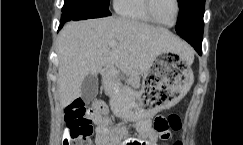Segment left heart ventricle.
<instances>
[{
	"instance_id": "obj_1",
	"label": "left heart ventricle",
	"mask_w": 243,
	"mask_h": 145,
	"mask_svg": "<svg viewBox=\"0 0 243 145\" xmlns=\"http://www.w3.org/2000/svg\"><path fill=\"white\" fill-rule=\"evenodd\" d=\"M155 17L164 24H170L175 16L174 0H153Z\"/></svg>"
}]
</instances>
